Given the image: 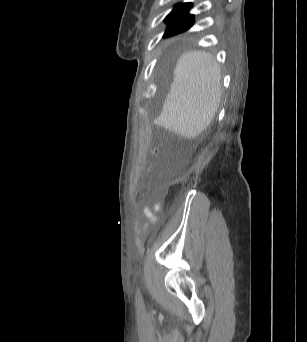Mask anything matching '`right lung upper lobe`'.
Returning a JSON list of instances; mask_svg holds the SVG:
<instances>
[{
	"mask_svg": "<svg viewBox=\"0 0 307 342\" xmlns=\"http://www.w3.org/2000/svg\"><path fill=\"white\" fill-rule=\"evenodd\" d=\"M191 7H192V3H179L175 6L173 11L188 10Z\"/></svg>",
	"mask_w": 307,
	"mask_h": 342,
	"instance_id": "cb5924a9",
	"label": "right lung upper lobe"
}]
</instances>
